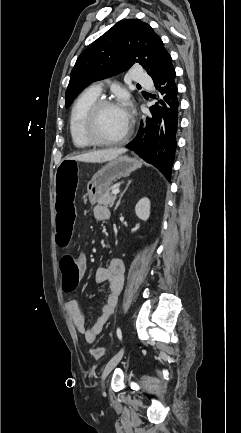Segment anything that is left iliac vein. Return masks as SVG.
Returning <instances> with one entry per match:
<instances>
[{
  "label": "left iliac vein",
  "mask_w": 241,
  "mask_h": 433,
  "mask_svg": "<svg viewBox=\"0 0 241 433\" xmlns=\"http://www.w3.org/2000/svg\"><path fill=\"white\" fill-rule=\"evenodd\" d=\"M125 352V345L120 349V351L114 355L109 362L106 364L105 369L102 374V385L105 380V378L108 376V374L116 367V365L120 362Z\"/></svg>",
  "instance_id": "4c4485c4"
}]
</instances>
